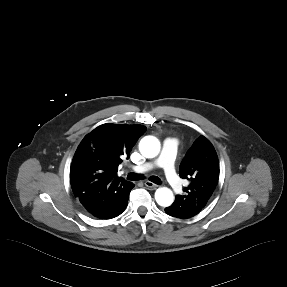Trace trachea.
<instances>
[{
    "instance_id": "1",
    "label": "trachea",
    "mask_w": 287,
    "mask_h": 287,
    "mask_svg": "<svg viewBox=\"0 0 287 287\" xmlns=\"http://www.w3.org/2000/svg\"><path fill=\"white\" fill-rule=\"evenodd\" d=\"M127 179L130 180V181H137V180H141V179H144L143 176L139 175V174H136V173H129L128 176H127ZM149 180L157 185L161 184V180L159 177L157 176H151L149 178Z\"/></svg>"
}]
</instances>
